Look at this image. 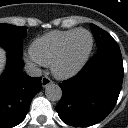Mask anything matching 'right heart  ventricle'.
Listing matches in <instances>:
<instances>
[{"mask_svg": "<svg viewBox=\"0 0 128 128\" xmlns=\"http://www.w3.org/2000/svg\"><path fill=\"white\" fill-rule=\"evenodd\" d=\"M77 29L52 31L36 38L30 47L31 55L44 66H52L65 41Z\"/></svg>", "mask_w": 128, "mask_h": 128, "instance_id": "right-heart-ventricle-1", "label": "right heart ventricle"}]
</instances>
